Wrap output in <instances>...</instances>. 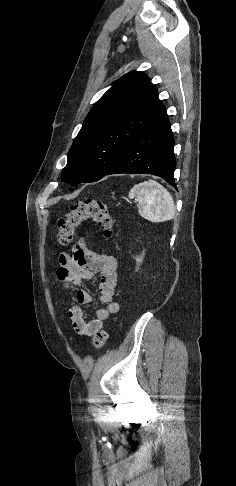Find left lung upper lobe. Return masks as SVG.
I'll list each match as a JSON object with an SVG mask.
<instances>
[{
    "label": "left lung upper lobe",
    "mask_w": 236,
    "mask_h": 486,
    "mask_svg": "<svg viewBox=\"0 0 236 486\" xmlns=\"http://www.w3.org/2000/svg\"><path fill=\"white\" fill-rule=\"evenodd\" d=\"M165 111L146 74L132 71L122 76L85 118L68 152L63 180L77 186L103 178L131 142Z\"/></svg>",
    "instance_id": "obj_1"
}]
</instances>
